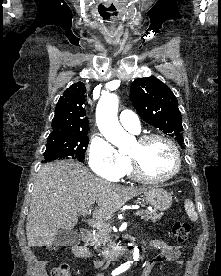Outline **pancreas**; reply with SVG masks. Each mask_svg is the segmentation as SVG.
Wrapping results in <instances>:
<instances>
[{
    "label": "pancreas",
    "mask_w": 221,
    "mask_h": 276,
    "mask_svg": "<svg viewBox=\"0 0 221 276\" xmlns=\"http://www.w3.org/2000/svg\"><path fill=\"white\" fill-rule=\"evenodd\" d=\"M162 217V214H158L155 211H145V214L142 216L143 219L151 220L155 222ZM111 227L109 225L102 227L95 234L91 241L92 246H103L105 249H110L112 240H111Z\"/></svg>",
    "instance_id": "pancreas-1"
}]
</instances>
